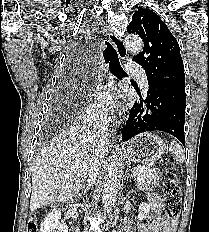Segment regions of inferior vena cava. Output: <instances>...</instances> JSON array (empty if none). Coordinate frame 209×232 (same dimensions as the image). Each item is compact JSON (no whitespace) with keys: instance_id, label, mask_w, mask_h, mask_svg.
Wrapping results in <instances>:
<instances>
[{"instance_id":"602c4592","label":"inferior vena cava","mask_w":209,"mask_h":232,"mask_svg":"<svg viewBox=\"0 0 209 232\" xmlns=\"http://www.w3.org/2000/svg\"><path fill=\"white\" fill-rule=\"evenodd\" d=\"M100 131L101 133L94 134L95 143H94L93 153L95 154V156H94V161L91 163V166L88 170V174H87L88 184H87L86 191H88L91 187H93V184L97 178V174L99 172L100 165H101L98 159H99L101 149H102V142L106 140L103 137L105 127H101Z\"/></svg>"}]
</instances>
